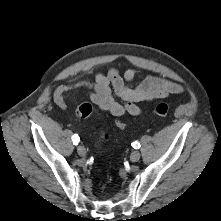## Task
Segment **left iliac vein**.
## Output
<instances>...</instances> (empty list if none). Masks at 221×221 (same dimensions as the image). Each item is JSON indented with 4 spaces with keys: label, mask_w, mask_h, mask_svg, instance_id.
Here are the masks:
<instances>
[{
    "label": "left iliac vein",
    "mask_w": 221,
    "mask_h": 221,
    "mask_svg": "<svg viewBox=\"0 0 221 221\" xmlns=\"http://www.w3.org/2000/svg\"><path fill=\"white\" fill-rule=\"evenodd\" d=\"M141 157V154L139 151H133L130 155V160L132 162H137Z\"/></svg>",
    "instance_id": "1"
}]
</instances>
